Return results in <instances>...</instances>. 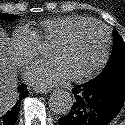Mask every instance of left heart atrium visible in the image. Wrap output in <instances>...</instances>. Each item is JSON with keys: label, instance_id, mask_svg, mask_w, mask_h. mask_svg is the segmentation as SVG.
Returning <instances> with one entry per match:
<instances>
[{"label": "left heart atrium", "instance_id": "obj_1", "mask_svg": "<svg viewBox=\"0 0 125 125\" xmlns=\"http://www.w3.org/2000/svg\"><path fill=\"white\" fill-rule=\"evenodd\" d=\"M25 80L38 89L49 88L70 78L69 73L58 58L40 60L25 72Z\"/></svg>", "mask_w": 125, "mask_h": 125}]
</instances>
